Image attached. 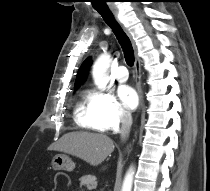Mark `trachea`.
Segmentation results:
<instances>
[{"mask_svg":"<svg viewBox=\"0 0 210 191\" xmlns=\"http://www.w3.org/2000/svg\"><path fill=\"white\" fill-rule=\"evenodd\" d=\"M98 13L103 17L104 21L110 26L113 30L116 38L118 39L125 56L126 63L129 66L134 64V51L129 37L123 31L122 27L114 18L113 13L108 8H96Z\"/></svg>","mask_w":210,"mask_h":191,"instance_id":"trachea-1","label":"trachea"}]
</instances>
